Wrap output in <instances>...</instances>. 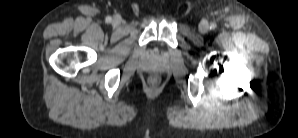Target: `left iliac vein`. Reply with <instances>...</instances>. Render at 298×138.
Instances as JSON below:
<instances>
[{"instance_id":"4c4485c4","label":"left iliac vein","mask_w":298,"mask_h":138,"mask_svg":"<svg viewBox=\"0 0 298 138\" xmlns=\"http://www.w3.org/2000/svg\"><path fill=\"white\" fill-rule=\"evenodd\" d=\"M199 30L202 33H206L209 30V25L206 20H202L199 24Z\"/></svg>"}]
</instances>
